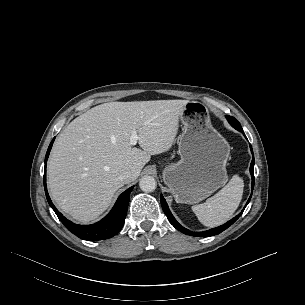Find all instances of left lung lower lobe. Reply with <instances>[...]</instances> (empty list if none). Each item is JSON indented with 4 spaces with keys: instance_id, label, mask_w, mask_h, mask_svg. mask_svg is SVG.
Listing matches in <instances>:
<instances>
[{
    "instance_id": "1",
    "label": "left lung lower lobe",
    "mask_w": 305,
    "mask_h": 305,
    "mask_svg": "<svg viewBox=\"0 0 305 305\" xmlns=\"http://www.w3.org/2000/svg\"><path fill=\"white\" fill-rule=\"evenodd\" d=\"M241 132L244 134L243 130H241ZM245 136V134H244ZM246 137V136H245ZM250 148H251V152L253 154V150H252V147L250 145ZM250 173H251V176H252V189L254 187V155H253V159H252V162H251V165H250ZM251 196H252V193H251ZM251 196L250 198L248 199L245 207L247 206V204L249 203L250 199H251ZM160 199H161V204H162V208H163V211L164 213L166 214L168 220L170 221V223L178 230H180L181 232H183L184 234H187V235H191V236H199V237H209V236H214V235H217L219 233H221L222 231H224L225 229H227L230 225H232L239 217L240 215L243 213L245 207L243 208V210L236 216L234 217L233 219H231L230 221H228L227 223L217 227V228H213V229H210V230H207V231H203V232H199V233H196V232H191L187 229H185L184 227H182L176 220L175 218L173 217V215L171 214L169 208H168V205L164 199V197L161 195L160 196Z\"/></svg>"
}]
</instances>
